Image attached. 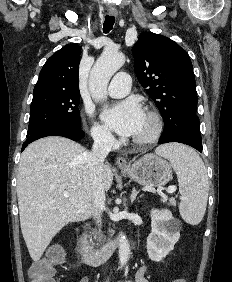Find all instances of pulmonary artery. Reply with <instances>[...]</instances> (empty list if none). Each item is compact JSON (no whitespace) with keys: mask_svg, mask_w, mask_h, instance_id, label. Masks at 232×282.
Returning a JSON list of instances; mask_svg holds the SVG:
<instances>
[{"mask_svg":"<svg viewBox=\"0 0 232 282\" xmlns=\"http://www.w3.org/2000/svg\"><path fill=\"white\" fill-rule=\"evenodd\" d=\"M131 87V77L126 72L117 73L111 80L107 93L113 98H121L126 96Z\"/></svg>","mask_w":232,"mask_h":282,"instance_id":"1","label":"pulmonary artery"}]
</instances>
